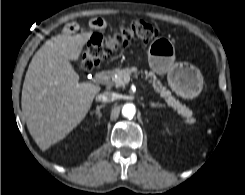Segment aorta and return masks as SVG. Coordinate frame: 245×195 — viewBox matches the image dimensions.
<instances>
[{
  "label": "aorta",
  "mask_w": 245,
  "mask_h": 195,
  "mask_svg": "<svg viewBox=\"0 0 245 195\" xmlns=\"http://www.w3.org/2000/svg\"><path fill=\"white\" fill-rule=\"evenodd\" d=\"M136 113V108L134 104L128 103L125 104L122 108V115L126 118H133Z\"/></svg>",
  "instance_id": "aorta-1"
}]
</instances>
